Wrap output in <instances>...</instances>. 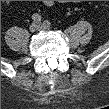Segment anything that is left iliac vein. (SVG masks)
Returning <instances> with one entry per match:
<instances>
[{"mask_svg": "<svg viewBox=\"0 0 109 109\" xmlns=\"http://www.w3.org/2000/svg\"><path fill=\"white\" fill-rule=\"evenodd\" d=\"M40 26H41L42 28H47V27L45 26V24H40Z\"/></svg>", "mask_w": 109, "mask_h": 109, "instance_id": "obj_1", "label": "left iliac vein"}]
</instances>
